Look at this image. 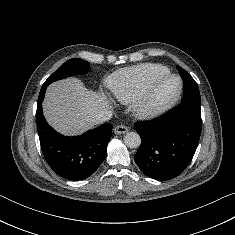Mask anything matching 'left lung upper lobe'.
<instances>
[{
	"label": "left lung upper lobe",
	"instance_id": "1",
	"mask_svg": "<svg viewBox=\"0 0 235 235\" xmlns=\"http://www.w3.org/2000/svg\"><path fill=\"white\" fill-rule=\"evenodd\" d=\"M178 72L181 75V77H186L188 79L191 80L192 82V88H193V92L185 95V93L183 92V98L182 100H195V101H201L200 99V93H199V88L197 83L195 82V80L192 78V76L187 73L183 68H181L180 66H177Z\"/></svg>",
	"mask_w": 235,
	"mask_h": 235
}]
</instances>
